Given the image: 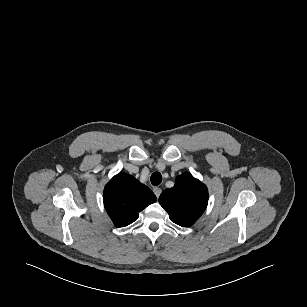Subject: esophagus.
<instances>
[{"instance_id":"esophagus-1","label":"esophagus","mask_w":307,"mask_h":307,"mask_svg":"<svg viewBox=\"0 0 307 307\" xmlns=\"http://www.w3.org/2000/svg\"><path fill=\"white\" fill-rule=\"evenodd\" d=\"M153 192H154V194L156 195V197L159 198V196H160L162 190H161V188H159V187H154V188H153Z\"/></svg>"}]
</instances>
